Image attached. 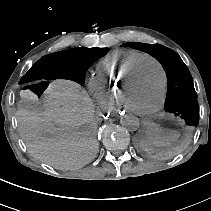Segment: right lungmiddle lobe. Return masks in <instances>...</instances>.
Masks as SVG:
<instances>
[{"mask_svg":"<svg viewBox=\"0 0 211 211\" xmlns=\"http://www.w3.org/2000/svg\"><path fill=\"white\" fill-rule=\"evenodd\" d=\"M109 51V48H74L66 51L58 52V54L63 55L64 57L68 56L73 59L75 62V73L72 75L63 74L60 75L58 72L48 71L45 74V79H57V78H66L71 79L79 84L83 85L85 73L88 68L98 59L106 55Z\"/></svg>","mask_w":211,"mask_h":211,"instance_id":"right-lung-middle-lobe-1","label":"right lung middle lobe"}]
</instances>
